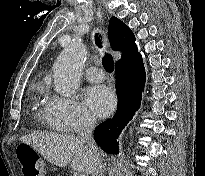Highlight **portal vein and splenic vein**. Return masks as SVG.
Masks as SVG:
<instances>
[{
  "mask_svg": "<svg viewBox=\"0 0 205 176\" xmlns=\"http://www.w3.org/2000/svg\"><path fill=\"white\" fill-rule=\"evenodd\" d=\"M81 176H86L85 174H82Z\"/></svg>",
  "mask_w": 205,
  "mask_h": 176,
  "instance_id": "portal-vein-and-splenic-vein-1",
  "label": "portal vein and splenic vein"
}]
</instances>
